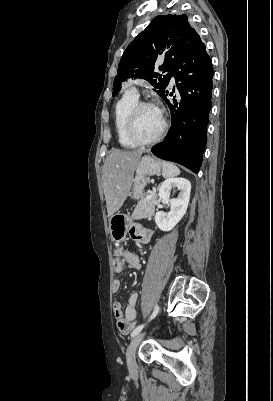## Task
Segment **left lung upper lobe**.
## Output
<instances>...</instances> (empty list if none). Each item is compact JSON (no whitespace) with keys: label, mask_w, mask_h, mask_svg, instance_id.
Wrapping results in <instances>:
<instances>
[{"label":"left lung upper lobe","mask_w":273,"mask_h":401,"mask_svg":"<svg viewBox=\"0 0 273 401\" xmlns=\"http://www.w3.org/2000/svg\"><path fill=\"white\" fill-rule=\"evenodd\" d=\"M200 40L186 15L167 14L156 16L126 48L114 79L113 96L128 78H144L160 96L169 84L174 63L194 43ZM164 56L159 67L166 75L154 71L158 56Z\"/></svg>","instance_id":"obj_1"}]
</instances>
